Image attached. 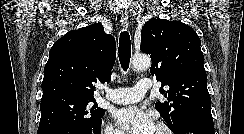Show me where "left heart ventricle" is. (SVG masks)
<instances>
[{"mask_svg": "<svg viewBox=\"0 0 244 134\" xmlns=\"http://www.w3.org/2000/svg\"><path fill=\"white\" fill-rule=\"evenodd\" d=\"M153 134H164V133L160 131L157 127H155Z\"/></svg>", "mask_w": 244, "mask_h": 134, "instance_id": "obj_1", "label": "left heart ventricle"}]
</instances>
